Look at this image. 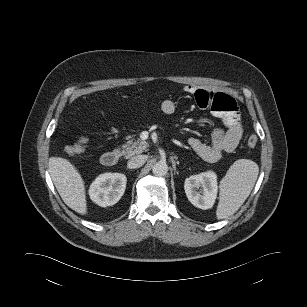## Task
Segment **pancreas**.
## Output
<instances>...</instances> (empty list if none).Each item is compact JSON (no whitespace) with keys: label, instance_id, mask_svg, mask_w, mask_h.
<instances>
[{"label":"pancreas","instance_id":"pancreas-1","mask_svg":"<svg viewBox=\"0 0 307 307\" xmlns=\"http://www.w3.org/2000/svg\"><path fill=\"white\" fill-rule=\"evenodd\" d=\"M148 146L149 144L146 141L140 139L134 141L131 139L122 146L121 154L125 158H129L135 154H140L143 151H146Z\"/></svg>","mask_w":307,"mask_h":307}]
</instances>
